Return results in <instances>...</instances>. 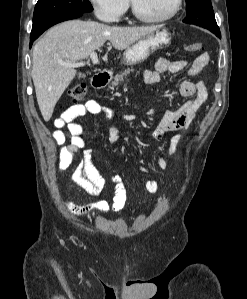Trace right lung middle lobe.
<instances>
[{
	"mask_svg": "<svg viewBox=\"0 0 247 299\" xmlns=\"http://www.w3.org/2000/svg\"><path fill=\"white\" fill-rule=\"evenodd\" d=\"M91 11L93 7L88 0H38L31 35L37 34L51 23L68 15Z\"/></svg>",
	"mask_w": 247,
	"mask_h": 299,
	"instance_id": "right-lung-middle-lobe-1",
	"label": "right lung middle lobe"
}]
</instances>
